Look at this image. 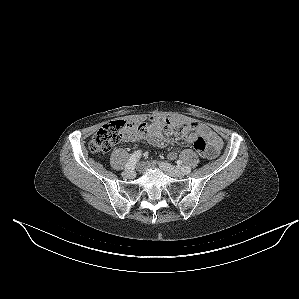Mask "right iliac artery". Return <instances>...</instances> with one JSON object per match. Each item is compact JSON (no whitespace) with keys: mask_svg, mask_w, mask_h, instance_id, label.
Wrapping results in <instances>:
<instances>
[{"mask_svg":"<svg viewBox=\"0 0 299 299\" xmlns=\"http://www.w3.org/2000/svg\"><path fill=\"white\" fill-rule=\"evenodd\" d=\"M141 156V151H135L129 158V160L127 161L126 165H125V169H133L135 164L137 163V161L140 159Z\"/></svg>","mask_w":299,"mask_h":299,"instance_id":"right-iliac-artery-1","label":"right iliac artery"}]
</instances>
